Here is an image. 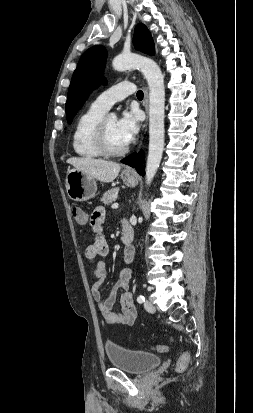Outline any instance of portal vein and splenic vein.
I'll return each mask as SVG.
<instances>
[{"label": "portal vein and splenic vein", "instance_id": "18ae733b", "mask_svg": "<svg viewBox=\"0 0 253 413\" xmlns=\"http://www.w3.org/2000/svg\"><path fill=\"white\" fill-rule=\"evenodd\" d=\"M118 205H119L118 203H114V204H112V208L116 209V208H118Z\"/></svg>", "mask_w": 253, "mask_h": 413}]
</instances>
